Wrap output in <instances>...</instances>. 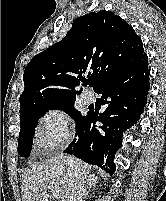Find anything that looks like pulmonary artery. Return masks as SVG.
<instances>
[{"mask_svg": "<svg viewBox=\"0 0 166 201\" xmlns=\"http://www.w3.org/2000/svg\"><path fill=\"white\" fill-rule=\"evenodd\" d=\"M81 98L86 104H90L94 101L93 94L87 90H85L81 93Z\"/></svg>", "mask_w": 166, "mask_h": 201, "instance_id": "1", "label": "pulmonary artery"}]
</instances>
